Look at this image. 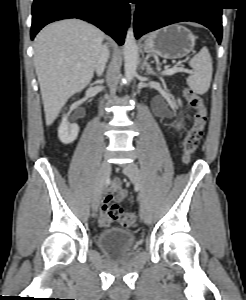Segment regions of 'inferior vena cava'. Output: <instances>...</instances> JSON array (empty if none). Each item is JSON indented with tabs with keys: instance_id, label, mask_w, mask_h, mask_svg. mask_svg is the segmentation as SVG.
Wrapping results in <instances>:
<instances>
[{
	"instance_id": "obj_1",
	"label": "inferior vena cava",
	"mask_w": 246,
	"mask_h": 300,
	"mask_svg": "<svg viewBox=\"0 0 246 300\" xmlns=\"http://www.w3.org/2000/svg\"><path fill=\"white\" fill-rule=\"evenodd\" d=\"M109 58V50L108 48L104 45L101 47L100 52L98 54L96 64H95V70L98 76H101L102 73L104 72L105 65L108 61Z\"/></svg>"
}]
</instances>
